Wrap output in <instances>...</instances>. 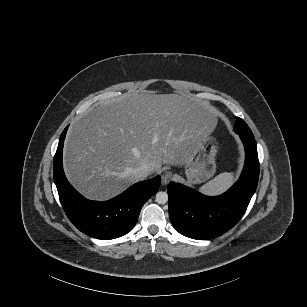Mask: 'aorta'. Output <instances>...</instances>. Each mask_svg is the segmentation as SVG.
Listing matches in <instances>:
<instances>
[{
	"label": "aorta",
	"instance_id": "obj_1",
	"mask_svg": "<svg viewBox=\"0 0 307 307\" xmlns=\"http://www.w3.org/2000/svg\"><path fill=\"white\" fill-rule=\"evenodd\" d=\"M155 200L159 204H164L168 201V194L163 191L157 192L155 195Z\"/></svg>",
	"mask_w": 307,
	"mask_h": 307
}]
</instances>
